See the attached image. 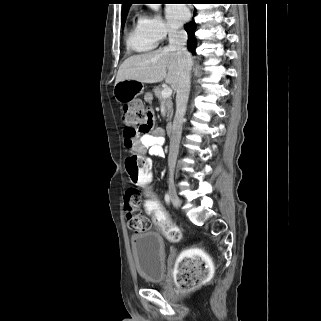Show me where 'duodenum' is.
Instances as JSON below:
<instances>
[{
    "label": "duodenum",
    "instance_id": "obj_1",
    "mask_svg": "<svg viewBox=\"0 0 321 321\" xmlns=\"http://www.w3.org/2000/svg\"><path fill=\"white\" fill-rule=\"evenodd\" d=\"M166 133L168 135H171L173 133V125L172 123H167L166 127H165Z\"/></svg>",
    "mask_w": 321,
    "mask_h": 321
}]
</instances>
